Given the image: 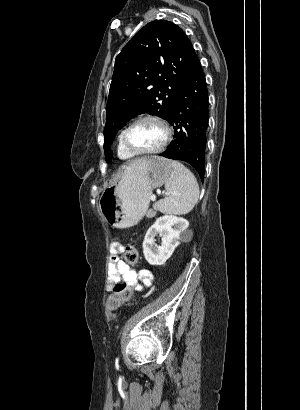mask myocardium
<instances>
[{"instance_id":"1","label":"myocardium","mask_w":300,"mask_h":410,"mask_svg":"<svg viewBox=\"0 0 300 410\" xmlns=\"http://www.w3.org/2000/svg\"><path fill=\"white\" fill-rule=\"evenodd\" d=\"M144 120H151V121L157 122L162 127V129L164 131V138H163L162 143L154 149L138 150V149L132 148L126 140V136H127V133L129 131V129L131 127H133L135 124H137L138 122L144 121ZM171 138H172V130H171L168 122L164 118H162L161 116L156 115V114H143V115L138 116L133 121H131L121 132V143H122V145L131 154H133L135 156L158 154V153L162 152L167 147V145L169 144Z\"/></svg>"}]
</instances>
